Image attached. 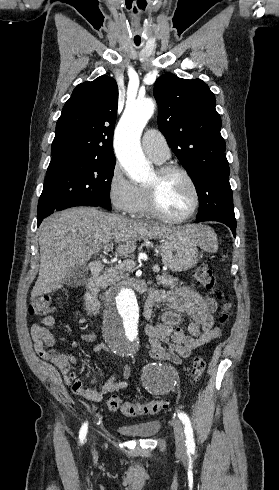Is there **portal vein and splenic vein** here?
Returning a JSON list of instances; mask_svg holds the SVG:
<instances>
[{"mask_svg":"<svg viewBox=\"0 0 279 490\" xmlns=\"http://www.w3.org/2000/svg\"><path fill=\"white\" fill-rule=\"evenodd\" d=\"M104 250H110L109 246H104ZM124 264H129V266H131L133 262H131V260H127V262H124ZM153 272H160V268H158V266H153Z\"/></svg>","mask_w":279,"mask_h":490,"instance_id":"portal-vein-and-splenic-vein-1","label":"portal vein and splenic vein"}]
</instances>
